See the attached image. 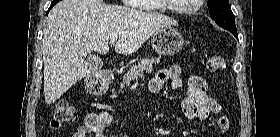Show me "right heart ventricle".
Segmentation results:
<instances>
[{
	"mask_svg": "<svg viewBox=\"0 0 280 137\" xmlns=\"http://www.w3.org/2000/svg\"><path fill=\"white\" fill-rule=\"evenodd\" d=\"M144 1H148V2H155V0H144ZM148 11H163V9L161 7H152L150 9H147Z\"/></svg>",
	"mask_w": 280,
	"mask_h": 137,
	"instance_id": "obj_1",
	"label": "right heart ventricle"
}]
</instances>
